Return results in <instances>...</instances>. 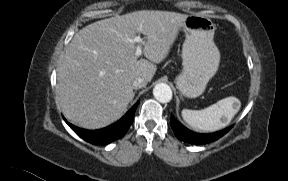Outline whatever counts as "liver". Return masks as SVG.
Listing matches in <instances>:
<instances>
[{"mask_svg":"<svg viewBox=\"0 0 288 181\" xmlns=\"http://www.w3.org/2000/svg\"><path fill=\"white\" fill-rule=\"evenodd\" d=\"M187 15L141 10L89 24L75 34L57 73V99L64 116L86 129L118 120L134 97L133 81L151 82L156 64L175 42ZM137 33L145 36L135 55Z\"/></svg>","mask_w":288,"mask_h":181,"instance_id":"1","label":"liver"}]
</instances>
